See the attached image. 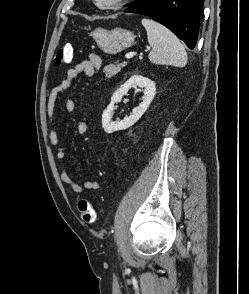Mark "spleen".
Masks as SVG:
<instances>
[{
  "mask_svg": "<svg viewBox=\"0 0 249 294\" xmlns=\"http://www.w3.org/2000/svg\"><path fill=\"white\" fill-rule=\"evenodd\" d=\"M147 31L148 42L152 47L149 60L154 64L184 67L187 54L179 39L165 26L152 19H142Z\"/></svg>",
  "mask_w": 249,
  "mask_h": 294,
  "instance_id": "1",
  "label": "spleen"
}]
</instances>
